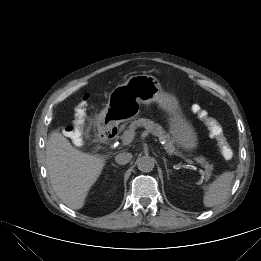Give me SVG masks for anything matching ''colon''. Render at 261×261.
Instances as JSON below:
<instances>
[{"label":"colon","mask_w":261,"mask_h":261,"mask_svg":"<svg viewBox=\"0 0 261 261\" xmlns=\"http://www.w3.org/2000/svg\"><path fill=\"white\" fill-rule=\"evenodd\" d=\"M87 98L84 97L82 103L78 106V113L83 115ZM193 112L201 119L207 126L210 135L216 140L218 151L221 157L225 160H230L234 153L225 136L222 126L210 117L208 113L199 105L195 104L192 107ZM65 135L69 137L75 144L81 143V131L76 126H68L65 128Z\"/></svg>","instance_id":"colon-1"}]
</instances>
